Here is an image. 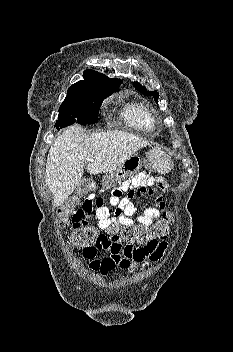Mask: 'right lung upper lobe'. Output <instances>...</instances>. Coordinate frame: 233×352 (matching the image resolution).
<instances>
[{
	"label": "right lung upper lobe",
	"mask_w": 233,
	"mask_h": 352,
	"mask_svg": "<svg viewBox=\"0 0 233 352\" xmlns=\"http://www.w3.org/2000/svg\"><path fill=\"white\" fill-rule=\"evenodd\" d=\"M122 83L120 79L108 78L94 70H86L84 72V80L79 81L70 86L67 95H72L86 87H100L106 90H117Z\"/></svg>",
	"instance_id": "cb5924a9"
}]
</instances>
